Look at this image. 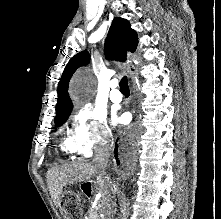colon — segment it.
Returning a JSON list of instances; mask_svg holds the SVG:
<instances>
[{
  "mask_svg": "<svg viewBox=\"0 0 221 219\" xmlns=\"http://www.w3.org/2000/svg\"><path fill=\"white\" fill-rule=\"evenodd\" d=\"M65 213L68 219H79L80 200L75 193H66L63 197Z\"/></svg>",
  "mask_w": 221,
  "mask_h": 219,
  "instance_id": "1",
  "label": "colon"
}]
</instances>
